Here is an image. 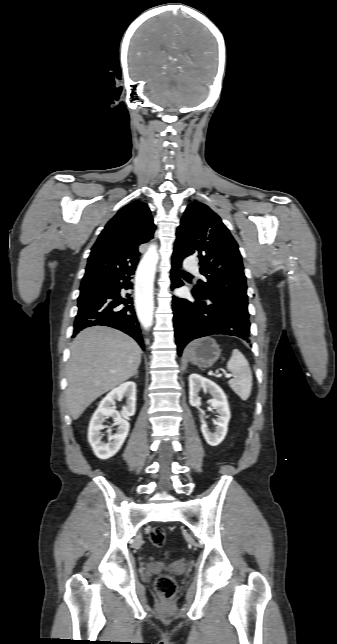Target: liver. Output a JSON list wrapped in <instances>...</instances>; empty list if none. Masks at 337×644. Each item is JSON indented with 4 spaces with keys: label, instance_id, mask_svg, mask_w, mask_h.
<instances>
[{
    "label": "liver",
    "instance_id": "obj_1",
    "mask_svg": "<svg viewBox=\"0 0 337 644\" xmlns=\"http://www.w3.org/2000/svg\"><path fill=\"white\" fill-rule=\"evenodd\" d=\"M141 363V349L128 335L105 326L81 331L70 347L66 403L73 420L102 394L128 380Z\"/></svg>",
    "mask_w": 337,
    "mask_h": 644
}]
</instances>
